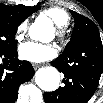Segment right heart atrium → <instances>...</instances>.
<instances>
[{
	"instance_id": "1",
	"label": "right heart atrium",
	"mask_w": 103,
	"mask_h": 103,
	"mask_svg": "<svg viewBox=\"0 0 103 103\" xmlns=\"http://www.w3.org/2000/svg\"><path fill=\"white\" fill-rule=\"evenodd\" d=\"M27 27H28L27 21H23L22 23L18 25L16 29V35H15L18 41H21L24 38L27 31Z\"/></svg>"
}]
</instances>
